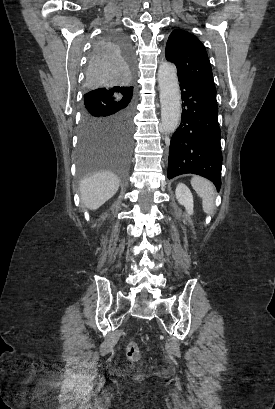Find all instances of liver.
Returning a JSON list of instances; mask_svg holds the SVG:
<instances>
[{
	"label": "liver",
	"mask_w": 275,
	"mask_h": 409,
	"mask_svg": "<svg viewBox=\"0 0 275 409\" xmlns=\"http://www.w3.org/2000/svg\"><path fill=\"white\" fill-rule=\"evenodd\" d=\"M118 188L119 178H117L116 174H113L110 170L94 172L92 176L80 180L81 202L90 211H96L117 192Z\"/></svg>",
	"instance_id": "1"
}]
</instances>
